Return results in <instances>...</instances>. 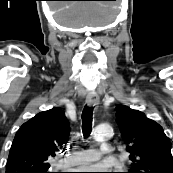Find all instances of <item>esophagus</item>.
<instances>
[{
	"label": "esophagus",
	"instance_id": "obj_1",
	"mask_svg": "<svg viewBox=\"0 0 173 173\" xmlns=\"http://www.w3.org/2000/svg\"><path fill=\"white\" fill-rule=\"evenodd\" d=\"M86 104L88 106L97 107L99 104V97L96 93H90L86 97Z\"/></svg>",
	"mask_w": 173,
	"mask_h": 173
}]
</instances>
